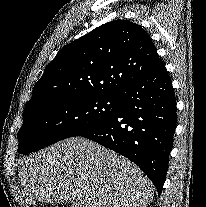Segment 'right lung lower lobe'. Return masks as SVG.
<instances>
[{
	"label": "right lung lower lobe",
	"instance_id": "1",
	"mask_svg": "<svg viewBox=\"0 0 206 207\" xmlns=\"http://www.w3.org/2000/svg\"><path fill=\"white\" fill-rule=\"evenodd\" d=\"M118 110L77 136L95 141L139 166L161 195L176 128L171 79L159 60L119 94Z\"/></svg>",
	"mask_w": 206,
	"mask_h": 207
}]
</instances>
